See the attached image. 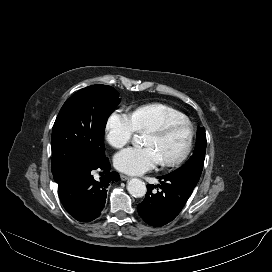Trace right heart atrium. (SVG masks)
I'll use <instances>...</instances> for the list:
<instances>
[{"instance_id": "1", "label": "right heart atrium", "mask_w": 272, "mask_h": 272, "mask_svg": "<svg viewBox=\"0 0 272 272\" xmlns=\"http://www.w3.org/2000/svg\"><path fill=\"white\" fill-rule=\"evenodd\" d=\"M136 132L133 115L126 110L115 109L106 120L105 139L114 148L125 146Z\"/></svg>"}]
</instances>
